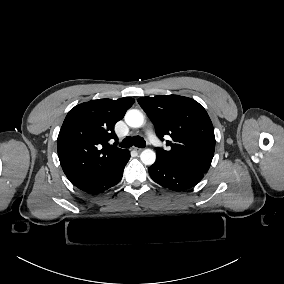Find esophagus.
Returning <instances> with one entry per match:
<instances>
[{"label": "esophagus", "instance_id": "obj_1", "mask_svg": "<svg viewBox=\"0 0 284 284\" xmlns=\"http://www.w3.org/2000/svg\"><path fill=\"white\" fill-rule=\"evenodd\" d=\"M134 150H136L137 152H141L143 149L142 148H138V147H132Z\"/></svg>", "mask_w": 284, "mask_h": 284}]
</instances>
